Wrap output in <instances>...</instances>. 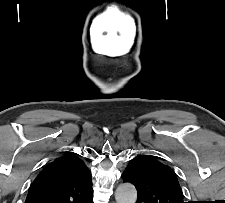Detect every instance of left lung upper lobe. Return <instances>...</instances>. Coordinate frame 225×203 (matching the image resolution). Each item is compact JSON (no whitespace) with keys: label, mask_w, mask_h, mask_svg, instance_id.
Instances as JSON below:
<instances>
[{"label":"left lung upper lobe","mask_w":225,"mask_h":203,"mask_svg":"<svg viewBox=\"0 0 225 203\" xmlns=\"http://www.w3.org/2000/svg\"><path fill=\"white\" fill-rule=\"evenodd\" d=\"M122 179L135 185L137 203H184L174 171L151 155L135 156L123 172Z\"/></svg>","instance_id":"left-lung-upper-lobe-1"}]
</instances>
